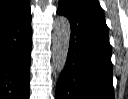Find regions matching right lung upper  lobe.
<instances>
[{
  "label": "right lung upper lobe",
  "mask_w": 128,
  "mask_h": 99,
  "mask_svg": "<svg viewBox=\"0 0 128 99\" xmlns=\"http://www.w3.org/2000/svg\"><path fill=\"white\" fill-rule=\"evenodd\" d=\"M29 7L28 0H0V27Z\"/></svg>",
  "instance_id": "cb5924a9"
}]
</instances>
